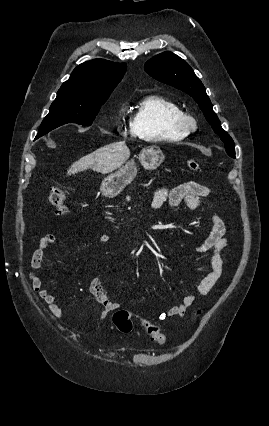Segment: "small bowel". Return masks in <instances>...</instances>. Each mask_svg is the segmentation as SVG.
Segmentation results:
<instances>
[{
  "label": "small bowel",
  "instance_id": "c3829d8e",
  "mask_svg": "<svg viewBox=\"0 0 269 426\" xmlns=\"http://www.w3.org/2000/svg\"><path fill=\"white\" fill-rule=\"evenodd\" d=\"M209 195L210 189L208 187L195 181H187L171 189H158L154 195L152 206L157 209L162 207L165 202H168L171 206H178L184 203L186 207L191 210H200L203 207L204 199ZM211 225L208 236L197 247V251L200 253L212 251L210 269L201 278L195 293L186 295L181 303L173 305L166 311L160 313L158 316L159 320L183 316L188 308L194 304L196 298L207 295L221 278L226 260L225 252L228 249V241L225 237L226 226L216 215L211 217ZM98 241L100 243H107L110 241V236L106 233L101 234L98 237ZM56 243L57 240L52 235H47L40 240L31 259V266L33 269H40L46 250L56 245ZM31 285L38 296L46 302L48 310L52 315L57 317L63 315L62 307L56 302L55 297L43 287L39 276H34L32 278ZM90 289L103 305L102 317L107 316L120 306L118 302L111 299L101 278L96 277L92 279Z\"/></svg>",
  "mask_w": 269,
  "mask_h": 426
}]
</instances>
